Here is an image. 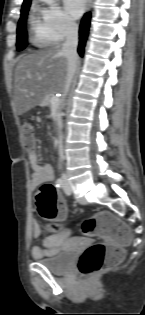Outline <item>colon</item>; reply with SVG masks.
<instances>
[{
	"mask_svg": "<svg viewBox=\"0 0 145 315\" xmlns=\"http://www.w3.org/2000/svg\"><path fill=\"white\" fill-rule=\"evenodd\" d=\"M22 132L24 146L32 149L35 141L32 124L23 123ZM36 206L39 214L50 222H55L65 210L64 203L50 183H44L38 188ZM81 229L85 235L105 241L91 245L81 254L77 263L81 275L106 271L120 262L121 247L130 241L129 229L121 220L108 212H101L84 221Z\"/></svg>",
	"mask_w": 145,
	"mask_h": 315,
	"instance_id": "1",
	"label": "colon"
}]
</instances>
